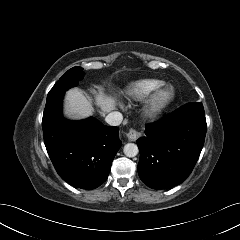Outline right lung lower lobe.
I'll list each match as a JSON object with an SVG mask.
<instances>
[{
    "mask_svg": "<svg viewBox=\"0 0 240 240\" xmlns=\"http://www.w3.org/2000/svg\"><path fill=\"white\" fill-rule=\"evenodd\" d=\"M64 92L47 98L42 119L49 157L68 184L95 189L108 178L112 161L121 147L119 128L94 118L68 121L62 116Z\"/></svg>",
    "mask_w": 240,
    "mask_h": 240,
    "instance_id": "right-lung-lower-lobe-1",
    "label": "right lung lower lobe"
}]
</instances>
